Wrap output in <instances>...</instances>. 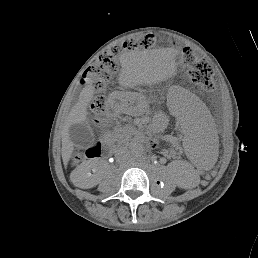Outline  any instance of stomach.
<instances>
[{"label":"stomach","mask_w":258,"mask_h":258,"mask_svg":"<svg viewBox=\"0 0 258 258\" xmlns=\"http://www.w3.org/2000/svg\"><path fill=\"white\" fill-rule=\"evenodd\" d=\"M122 98L124 101H130L131 98L128 96V94H122Z\"/></svg>","instance_id":"obj_1"}]
</instances>
